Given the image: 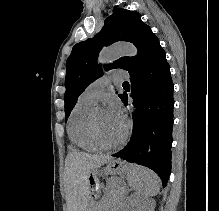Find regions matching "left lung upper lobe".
<instances>
[{
	"instance_id": "1",
	"label": "left lung upper lobe",
	"mask_w": 219,
	"mask_h": 211,
	"mask_svg": "<svg viewBox=\"0 0 219 211\" xmlns=\"http://www.w3.org/2000/svg\"><path fill=\"white\" fill-rule=\"evenodd\" d=\"M118 41L133 43L138 54L135 57H121L112 64L105 65V70L121 68L131 74L162 49L158 38L151 28L142 22L139 14L126 9L114 10L105 20L102 30L93 38L76 44L67 59L64 96L66 118L69 117L79 95L90 83L102 76L103 70L97 63L102 46ZM122 96L123 94L119 95L120 98Z\"/></svg>"
}]
</instances>
